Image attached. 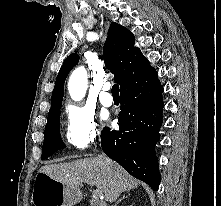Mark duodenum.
Instances as JSON below:
<instances>
[{
	"label": "duodenum",
	"mask_w": 221,
	"mask_h": 206,
	"mask_svg": "<svg viewBox=\"0 0 221 206\" xmlns=\"http://www.w3.org/2000/svg\"><path fill=\"white\" fill-rule=\"evenodd\" d=\"M89 206H106L103 202L97 198H89Z\"/></svg>",
	"instance_id": "duodenum-1"
}]
</instances>
